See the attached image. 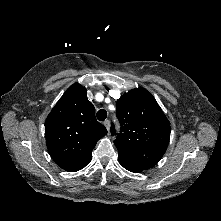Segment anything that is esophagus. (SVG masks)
Masks as SVG:
<instances>
[{
    "instance_id": "esophagus-1",
    "label": "esophagus",
    "mask_w": 221,
    "mask_h": 221,
    "mask_svg": "<svg viewBox=\"0 0 221 221\" xmlns=\"http://www.w3.org/2000/svg\"><path fill=\"white\" fill-rule=\"evenodd\" d=\"M103 124L106 127V129L109 130V128H110V121L109 120H105Z\"/></svg>"
}]
</instances>
